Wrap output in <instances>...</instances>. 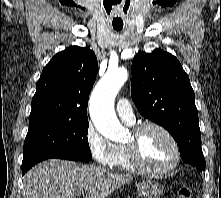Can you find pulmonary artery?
I'll return each instance as SVG.
<instances>
[{"mask_svg": "<svg viewBox=\"0 0 221 198\" xmlns=\"http://www.w3.org/2000/svg\"><path fill=\"white\" fill-rule=\"evenodd\" d=\"M116 110L119 117L127 124L132 125L135 122V116L133 113V109L131 107L130 102L125 99L121 98L118 100L116 104Z\"/></svg>", "mask_w": 221, "mask_h": 198, "instance_id": "e3ab8cb5", "label": "pulmonary artery"}]
</instances>
